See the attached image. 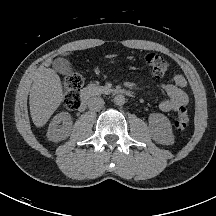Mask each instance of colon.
Returning a JSON list of instances; mask_svg holds the SVG:
<instances>
[{
	"mask_svg": "<svg viewBox=\"0 0 216 216\" xmlns=\"http://www.w3.org/2000/svg\"><path fill=\"white\" fill-rule=\"evenodd\" d=\"M144 62L148 70L155 76H164L172 67L169 60L157 53H149L145 56ZM63 86L65 90L64 106L68 110H76L81 103L80 90L83 86L82 77L75 72H69L63 77ZM190 122V116L185 107L178 110L175 118V128L184 130Z\"/></svg>",
	"mask_w": 216,
	"mask_h": 216,
	"instance_id": "5ec220e1",
	"label": "colon"
}]
</instances>
